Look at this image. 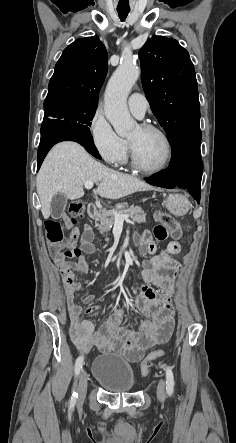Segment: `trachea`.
<instances>
[{
  "label": "trachea",
  "instance_id": "1",
  "mask_svg": "<svg viewBox=\"0 0 236 443\" xmlns=\"http://www.w3.org/2000/svg\"><path fill=\"white\" fill-rule=\"evenodd\" d=\"M117 12L119 14V18L124 21L130 12V9H117Z\"/></svg>",
  "mask_w": 236,
  "mask_h": 443
}]
</instances>
